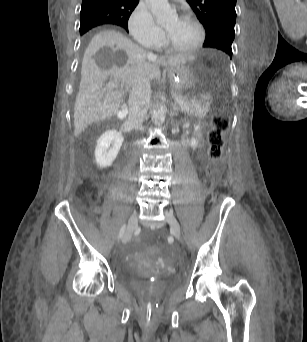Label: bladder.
I'll list each match as a JSON object with an SVG mask.
<instances>
[{
  "mask_svg": "<svg viewBox=\"0 0 307 342\" xmlns=\"http://www.w3.org/2000/svg\"><path fill=\"white\" fill-rule=\"evenodd\" d=\"M121 281L136 292H146L151 287L150 277L145 271L134 266H127L120 275ZM175 283V279L161 281L156 284V291L163 293Z\"/></svg>",
  "mask_w": 307,
  "mask_h": 342,
  "instance_id": "bladder-1",
  "label": "bladder"
}]
</instances>
